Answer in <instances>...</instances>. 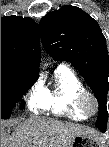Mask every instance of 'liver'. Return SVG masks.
<instances>
[{"mask_svg":"<svg viewBox=\"0 0 109 147\" xmlns=\"http://www.w3.org/2000/svg\"><path fill=\"white\" fill-rule=\"evenodd\" d=\"M2 123V147H71L75 136L99 139L100 133L93 129L70 122L31 117L18 124L11 135H5Z\"/></svg>","mask_w":109,"mask_h":147,"instance_id":"1","label":"liver"}]
</instances>
